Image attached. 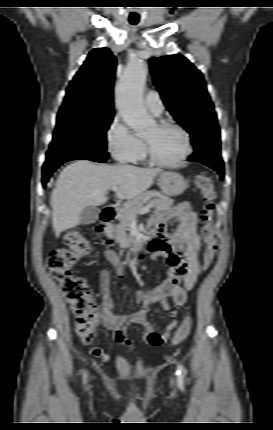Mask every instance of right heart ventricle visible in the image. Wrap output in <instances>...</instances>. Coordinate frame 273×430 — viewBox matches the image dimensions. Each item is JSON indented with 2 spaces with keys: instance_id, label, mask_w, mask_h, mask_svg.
I'll list each match as a JSON object with an SVG mask.
<instances>
[{
  "instance_id": "e07e8e85",
  "label": "right heart ventricle",
  "mask_w": 273,
  "mask_h": 430,
  "mask_svg": "<svg viewBox=\"0 0 273 430\" xmlns=\"http://www.w3.org/2000/svg\"><path fill=\"white\" fill-rule=\"evenodd\" d=\"M144 158H145V146H144V149L140 152V154L135 158L133 162L143 161Z\"/></svg>"
}]
</instances>
